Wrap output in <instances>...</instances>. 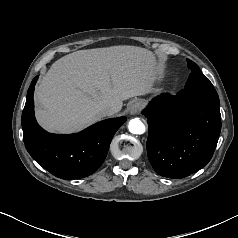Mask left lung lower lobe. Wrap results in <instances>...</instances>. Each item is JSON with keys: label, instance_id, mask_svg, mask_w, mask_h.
<instances>
[{"label": "left lung lower lobe", "instance_id": "left-lung-lower-lobe-1", "mask_svg": "<svg viewBox=\"0 0 238 238\" xmlns=\"http://www.w3.org/2000/svg\"><path fill=\"white\" fill-rule=\"evenodd\" d=\"M183 92L157 96L143 111L149 161L159 175L175 179L207 165L221 131L219 97Z\"/></svg>", "mask_w": 238, "mask_h": 238}]
</instances>
